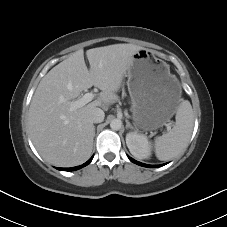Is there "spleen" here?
Masks as SVG:
<instances>
[{"label":"spleen","mask_w":227,"mask_h":227,"mask_svg":"<svg viewBox=\"0 0 227 227\" xmlns=\"http://www.w3.org/2000/svg\"><path fill=\"white\" fill-rule=\"evenodd\" d=\"M176 122L171 131L155 139V154L161 161L170 160L188 146L194 126L190 102L182 100L176 112Z\"/></svg>","instance_id":"spleen-1"}]
</instances>
